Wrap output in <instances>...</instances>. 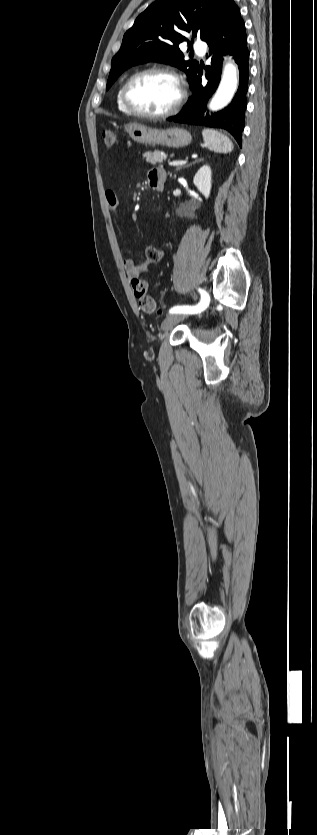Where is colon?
I'll list each match as a JSON object with an SVG mask.
<instances>
[{
  "label": "colon",
  "instance_id": "obj_1",
  "mask_svg": "<svg viewBox=\"0 0 317 835\" xmlns=\"http://www.w3.org/2000/svg\"><path fill=\"white\" fill-rule=\"evenodd\" d=\"M102 139L107 148H112L118 141L116 132L112 130H104L102 132ZM148 257L154 261L160 260L163 257V251L155 246H148ZM133 293L138 300L139 308L145 313H154L157 311L156 303L153 297L147 293L148 284L140 277H133L131 280Z\"/></svg>",
  "mask_w": 317,
  "mask_h": 835
}]
</instances>
